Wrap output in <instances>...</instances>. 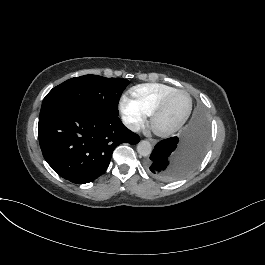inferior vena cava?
<instances>
[{
  "instance_id": "1",
  "label": "inferior vena cava",
  "mask_w": 265,
  "mask_h": 265,
  "mask_svg": "<svg viewBox=\"0 0 265 265\" xmlns=\"http://www.w3.org/2000/svg\"><path fill=\"white\" fill-rule=\"evenodd\" d=\"M125 126L133 132H138L140 130V125L137 122L128 121L127 117L123 118Z\"/></svg>"
}]
</instances>
